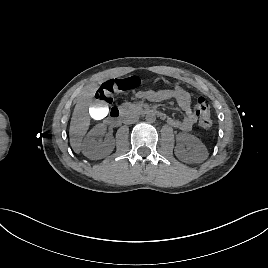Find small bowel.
<instances>
[{
    "mask_svg": "<svg viewBox=\"0 0 268 268\" xmlns=\"http://www.w3.org/2000/svg\"><path fill=\"white\" fill-rule=\"evenodd\" d=\"M138 98H144L151 102L175 100L184 113L182 119L168 117L167 122L174 128L181 131H190L197 122L198 116L192 108V98L190 93L180 86L170 89L141 91L136 94Z\"/></svg>",
    "mask_w": 268,
    "mask_h": 268,
    "instance_id": "c3829d8e",
    "label": "small bowel"
}]
</instances>
